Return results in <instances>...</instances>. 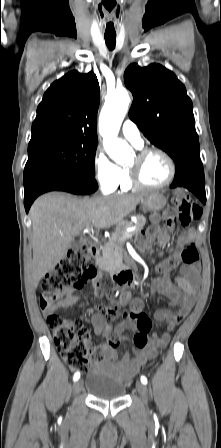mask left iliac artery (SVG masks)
<instances>
[{
	"label": "left iliac artery",
	"instance_id": "left-iliac-artery-1",
	"mask_svg": "<svg viewBox=\"0 0 221 448\" xmlns=\"http://www.w3.org/2000/svg\"><path fill=\"white\" fill-rule=\"evenodd\" d=\"M141 382L146 385L147 384V378L145 376H141Z\"/></svg>",
	"mask_w": 221,
	"mask_h": 448
}]
</instances>
